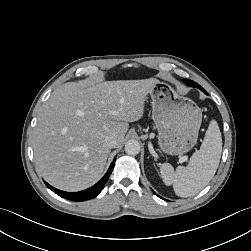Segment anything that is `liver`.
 <instances>
[{
    "instance_id": "6515ba94",
    "label": "liver",
    "mask_w": 251,
    "mask_h": 251,
    "mask_svg": "<svg viewBox=\"0 0 251 251\" xmlns=\"http://www.w3.org/2000/svg\"><path fill=\"white\" fill-rule=\"evenodd\" d=\"M155 78L93 83L68 82L40 109L32 147L44 179L64 191H80L101 177L111 148L105 138L123 142L129 122L142 118Z\"/></svg>"
}]
</instances>
